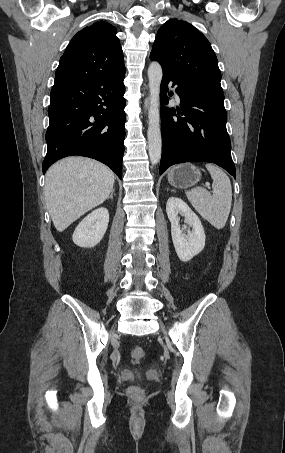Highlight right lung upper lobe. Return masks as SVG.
<instances>
[{"label": "right lung upper lobe", "instance_id": "obj_1", "mask_svg": "<svg viewBox=\"0 0 285 453\" xmlns=\"http://www.w3.org/2000/svg\"><path fill=\"white\" fill-rule=\"evenodd\" d=\"M116 29L105 21L79 31L60 58L55 78L70 75L97 77L125 71Z\"/></svg>", "mask_w": 285, "mask_h": 453}]
</instances>
